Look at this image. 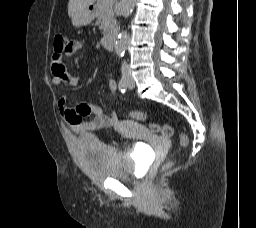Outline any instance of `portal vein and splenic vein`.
I'll use <instances>...</instances> for the list:
<instances>
[{"instance_id": "portal-vein-and-splenic-vein-1", "label": "portal vein and splenic vein", "mask_w": 256, "mask_h": 228, "mask_svg": "<svg viewBox=\"0 0 256 228\" xmlns=\"http://www.w3.org/2000/svg\"><path fill=\"white\" fill-rule=\"evenodd\" d=\"M111 1H113V0H107V2H111Z\"/></svg>"}]
</instances>
